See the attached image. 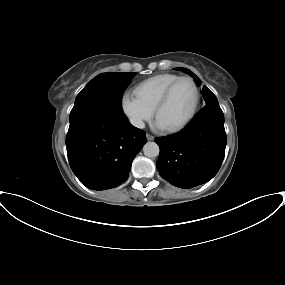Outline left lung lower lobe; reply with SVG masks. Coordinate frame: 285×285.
<instances>
[{
	"label": "left lung lower lobe",
	"mask_w": 285,
	"mask_h": 285,
	"mask_svg": "<svg viewBox=\"0 0 285 285\" xmlns=\"http://www.w3.org/2000/svg\"><path fill=\"white\" fill-rule=\"evenodd\" d=\"M160 175L172 185L188 189L212 179L222 164L226 133L221 109L200 111L179 134L156 138Z\"/></svg>",
	"instance_id": "obj_1"
}]
</instances>
